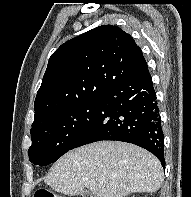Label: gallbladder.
<instances>
[{
	"instance_id": "obj_1",
	"label": "gallbladder",
	"mask_w": 191,
	"mask_h": 197,
	"mask_svg": "<svg viewBox=\"0 0 191 197\" xmlns=\"http://www.w3.org/2000/svg\"><path fill=\"white\" fill-rule=\"evenodd\" d=\"M82 197H96V195H94L93 193L89 191H85L82 193Z\"/></svg>"
}]
</instances>
